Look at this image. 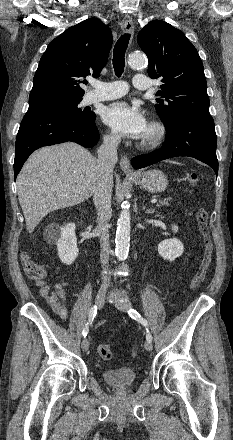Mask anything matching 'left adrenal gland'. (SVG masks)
<instances>
[{
  "mask_svg": "<svg viewBox=\"0 0 233 440\" xmlns=\"http://www.w3.org/2000/svg\"><path fill=\"white\" fill-rule=\"evenodd\" d=\"M143 209H145V207H143ZM154 212H155L154 209H152V210H150V209H149V210H146V213H147V214H149V213H154Z\"/></svg>",
  "mask_w": 233,
  "mask_h": 440,
  "instance_id": "1",
  "label": "left adrenal gland"
}]
</instances>
